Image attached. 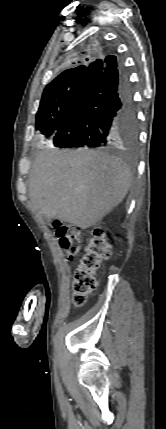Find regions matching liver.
Returning a JSON list of instances; mask_svg holds the SVG:
<instances>
[{
	"label": "liver",
	"mask_w": 166,
	"mask_h": 429,
	"mask_svg": "<svg viewBox=\"0 0 166 429\" xmlns=\"http://www.w3.org/2000/svg\"><path fill=\"white\" fill-rule=\"evenodd\" d=\"M132 184L128 165L106 152L46 149L36 157L29 179L34 210L82 229L110 213Z\"/></svg>",
	"instance_id": "obj_1"
}]
</instances>
